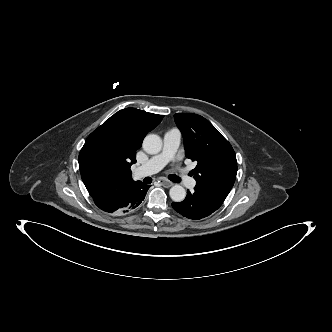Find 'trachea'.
Listing matches in <instances>:
<instances>
[{
    "instance_id": "trachea-1",
    "label": "trachea",
    "mask_w": 332,
    "mask_h": 332,
    "mask_svg": "<svg viewBox=\"0 0 332 332\" xmlns=\"http://www.w3.org/2000/svg\"><path fill=\"white\" fill-rule=\"evenodd\" d=\"M170 180H172L173 182H180V177H178V176H176V175H172V176L170 177ZM145 181H146L147 183H149V182L151 181V178L147 177V178L145 179Z\"/></svg>"
}]
</instances>
